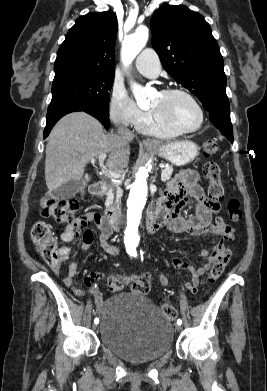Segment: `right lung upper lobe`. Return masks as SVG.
Wrapping results in <instances>:
<instances>
[{
	"label": "right lung upper lobe",
	"mask_w": 267,
	"mask_h": 391,
	"mask_svg": "<svg viewBox=\"0 0 267 391\" xmlns=\"http://www.w3.org/2000/svg\"><path fill=\"white\" fill-rule=\"evenodd\" d=\"M116 35L114 12H92L77 18L58 50L55 76L68 72L114 74Z\"/></svg>",
	"instance_id": "cb5924a9"
}]
</instances>
